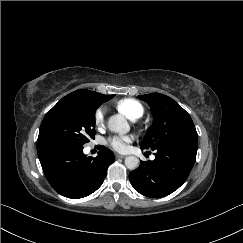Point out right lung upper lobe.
<instances>
[{
  "instance_id": "cb5924a9",
  "label": "right lung upper lobe",
  "mask_w": 243,
  "mask_h": 243,
  "mask_svg": "<svg viewBox=\"0 0 243 243\" xmlns=\"http://www.w3.org/2000/svg\"><path fill=\"white\" fill-rule=\"evenodd\" d=\"M111 95H102L100 93L86 90V89H79L76 90L62 99H71V100H78V101H85L89 103L101 104L110 100Z\"/></svg>"
}]
</instances>
